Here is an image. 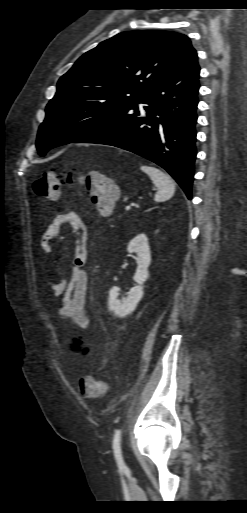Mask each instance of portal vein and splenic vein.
<instances>
[{
	"mask_svg": "<svg viewBox=\"0 0 247 513\" xmlns=\"http://www.w3.org/2000/svg\"><path fill=\"white\" fill-rule=\"evenodd\" d=\"M130 209H131V206H126V207H125V211H127V212H128Z\"/></svg>",
	"mask_w": 247,
	"mask_h": 513,
	"instance_id": "portal-vein-and-splenic-vein-1",
	"label": "portal vein and splenic vein"
}]
</instances>
